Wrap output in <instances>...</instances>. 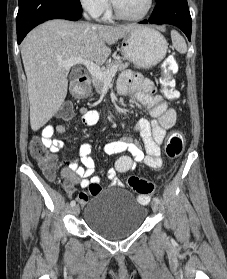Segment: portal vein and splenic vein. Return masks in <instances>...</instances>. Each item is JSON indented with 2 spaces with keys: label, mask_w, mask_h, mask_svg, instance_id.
<instances>
[{
  "label": "portal vein and splenic vein",
  "mask_w": 227,
  "mask_h": 279,
  "mask_svg": "<svg viewBox=\"0 0 227 279\" xmlns=\"http://www.w3.org/2000/svg\"><path fill=\"white\" fill-rule=\"evenodd\" d=\"M76 64L85 65L93 77L99 78L104 82H111L112 78L117 72L116 67H112L109 71H105L104 69H101L100 66H98L97 64L88 60H84L81 57H73L68 60L58 62L59 66L64 67L67 70Z\"/></svg>",
  "instance_id": "1"
}]
</instances>
